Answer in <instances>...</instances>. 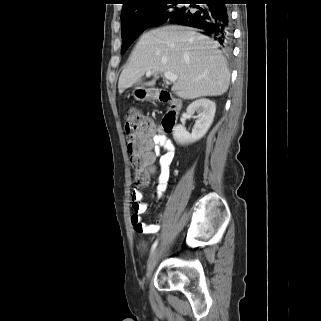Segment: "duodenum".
<instances>
[{
    "instance_id": "1",
    "label": "duodenum",
    "mask_w": 321,
    "mask_h": 321,
    "mask_svg": "<svg viewBox=\"0 0 321 321\" xmlns=\"http://www.w3.org/2000/svg\"><path fill=\"white\" fill-rule=\"evenodd\" d=\"M154 97H156L159 101L161 102H166L169 104V110L165 114L162 125L163 128L171 132L178 120L181 108H182V103L179 99L173 97L171 93L164 89H158L153 93Z\"/></svg>"
}]
</instances>
